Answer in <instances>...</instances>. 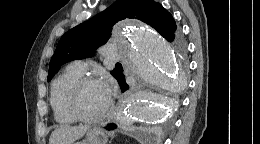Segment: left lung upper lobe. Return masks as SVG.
Returning a JSON list of instances; mask_svg holds the SVG:
<instances>
[{
    "instance_id": "5c2ea615",
    "label": "left lung upper lobe",
    "mask_w": 260,
    "mask_h": 144,
    "mask_svg": "<svg viewBox=\"0 0 260 144\" xmlns=\"http://www.w3.org/2000/svg\"><path fill=\"white\" fill-rule=\"evenodd\" d=\"M136 18L153 27L166 40L175 41L177 26L172 15L153 0H117L110 7L66 32L57 44L49 64L48 80L58 68L72 60L91 57L94 50L111 37L112 26L119 20ZM184 51L183 43H176ZM117 70L111 74L117 78Z\"/></svg>"
}]
</instances>
